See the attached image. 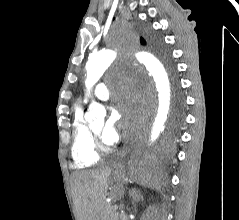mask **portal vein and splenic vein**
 Segmentation results:
<instances>
[{
    "instance_id": "obj_1",
    "label": "portal vein and splenic vein",
    "mask_w": 239,
    "mask_h": 220,
    "mask_svg": "<svg viewBox=\"0 0 239 220\" xmlns=\"http://www.w3.org/2000/svg\"><path fill=\"white\" fill-rule=\"evenodd\" d=\"M118 209V205H114V210L116 211Z\"/></svg>"
}]
</instances>
